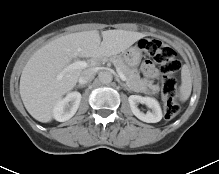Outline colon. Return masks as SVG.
<instances>
[{"instance_id":"obj_1","label":"colon","mask_w":219,"mask_h":174,"mask_svg":"<svg viewBox=\"0 0 219 174\" xmlns=\"http://www.w3.org/2000/svg\"><path fill=\"white\" fill-rule=\"evenodd\" d=\"M141 48L160 64L162 74V93L165 100L164 116L171 120L179 111L176 103L177 72L181 63L173 48L159 39H148L140 42Z\"/></svg>"}]
</instances>
